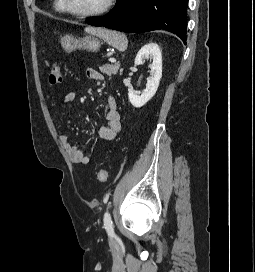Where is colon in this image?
<instances>
[{
  "label": "colon",
  "instance_id": "obj_1",
  "mask_svg": "<svg viewBox=\"0 0 255 272\" xmlns=\"http://www.w3.org/2000/svg\"><path fill=\"white\" fill-rule=\"evenodd\" d=\"M62 83L61 65L59 63L52 64L48 75V84L56 86ZM108 179V173L105 169H101L97 173V180L100 183H105Z\"/></svg>",
  "mask_w": 255,
  "mask_h": 272
}]
</instances>
